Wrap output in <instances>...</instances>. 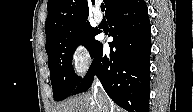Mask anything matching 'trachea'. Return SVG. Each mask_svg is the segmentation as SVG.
Returning a JSON list of instances; mask_svg holds the SVG:
<instances>
[{"instance_id":"3493384b","label":"trachea","mask_w":193,"mask_h":112,"mask_svg":"<svg viewBox=\"0 0 193 112\" xmlns=\"http://www.w3.org/2000/svg\"><path fill=\"white\" fill-rule=\"evenodd\" d=\"M101 10L104 11L105 10V6L104 4H101Z\"/></svg>"}]
</instances>
